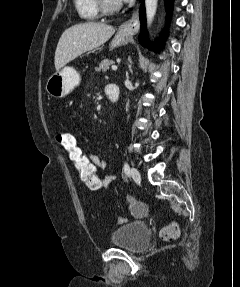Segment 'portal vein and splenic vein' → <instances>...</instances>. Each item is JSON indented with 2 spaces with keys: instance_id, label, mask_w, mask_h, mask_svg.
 <instances>
[{
  "instance_id": "18ae733b",
  "label": "portal vein and splenic vein",
  "mask_w": 240,
  "mask_h": 287,
  "mask_svg": "<svg viewBox=\"0 0 240 287\" xmlns=\"http://www.w3.org/2000/svg\"><path fill=\"white\" fill-rule=\"evenodd\" d=\"M111 69L114 70V71H116V70H117V66H116V65H112V66H111Z\"/></svg>"
}]
</instances>
